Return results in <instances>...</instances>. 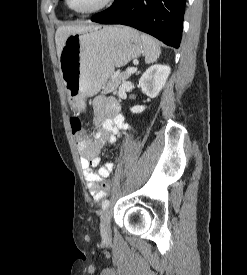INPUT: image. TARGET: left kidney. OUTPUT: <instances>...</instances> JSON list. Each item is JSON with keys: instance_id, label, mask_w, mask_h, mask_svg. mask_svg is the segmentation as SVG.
Segmentation results:
<instances>
[{"instance_id": "obj_1", "label": "left kidney", "mask_w": 247, "mask_h": 275, "mask_svg": "<svg viewBox=\"0 0 247 275\" xmlns=\"http://www.w3.org/2000/svg\"><path fill=\"white\" fill-rule=\"evenodd\" d=\"M171 69L167 65L155 64L149 67L139 80V87L142 92L150 98L159 95L162 88L170 75ZM145 106L136 105L130 110L132 113H141L145 110Z\"/></svg>"}]
</instances>
